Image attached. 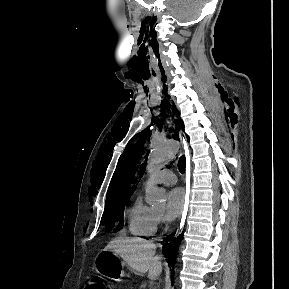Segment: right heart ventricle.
Returning <instances> with one entry per match:
<instances>
[{
	"label": "right heart ventricle",
	"mask_w": 289,
	"mask_h": 289,
	"mask_svg": "<svg viewBox=\"0 0 289 289\" xmlns=\"http://www.w3.org/2000/svg\"><path fill=\"white\" fill-rule=\"evenodd\" d=\"M130 233L134 236L150 237L156 233L157 218L153 210L144 204L140 195L136 196L127 211Z\"/></svg>",
	"instance_id": "1"
}]
</instances>
